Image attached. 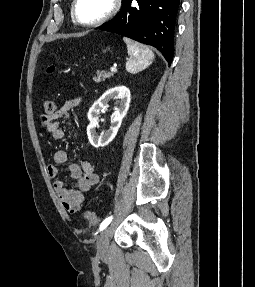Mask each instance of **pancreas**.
<instances>
[{"instance_id":"pancreas-1","label":"pancreas","mask_w":255,"mask_h":287,"mask_svg":"<svg viewBox=\"0 0 255 287\" xmlns=\"http://www.w3.org/2000/svg\"><path fill=\"white\" fill-rule=\"evenodd\" d=\"M113 76V72H97V76L93 78L94 82H104L106 78H111Z\"/></svg>"}]
</instances>
